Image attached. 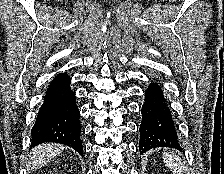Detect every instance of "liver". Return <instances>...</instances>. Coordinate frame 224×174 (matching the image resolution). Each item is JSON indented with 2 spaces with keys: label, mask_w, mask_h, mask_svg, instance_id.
<instances>
[{
  "label": "liver",
  "mask_w": 224,
  "mask_h": 174,
  "mask_svg": "<svg viewBox=\"0 0 224 174\" xmlns=\"http://www.w3.org/2000/svg\"><path fill=\"white\" fill-rule=\"evenodd\" d=\"M63 150L64 146L61 144L45 143L38 145L32 149L29 155L26 164L28 171H33L44 166L53 157L62 153Z\"/></svg>",
  "instance_id": "obj_1"
}]
</instances>
